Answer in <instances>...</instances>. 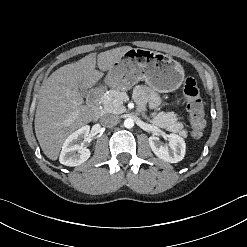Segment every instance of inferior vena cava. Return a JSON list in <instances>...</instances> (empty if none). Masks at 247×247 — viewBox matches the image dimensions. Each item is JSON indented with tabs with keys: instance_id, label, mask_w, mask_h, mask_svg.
I'll list each match as a JSON object with an SVG mask.
<instances>
[{
	"instance_id": "obj_1",
	"label": "inferior vena cava",
	"mask_w": 247,
	"mask_h": 247,
	"mask_svg": "<svg viewBox=\"0 0 247 247\" xmlns=\"http://www.w3.org/2000/svg\"><path fill=\"white\" fill-rule=\"evenodd\" d=\"M100 122L103 126L113 127L118 124L119 117L117 115L107 114L100 119Z\"/></svg>"
}]
</instances>
